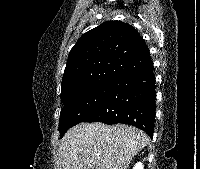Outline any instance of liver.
Segmentation results:
<instances>
[{"label": "liver", "mask_w": 200, "mask_h": 169, "mask_svg": "<svg viewBox=\"0 0 200 169\" xmlns=\"http://www.w3.org/2000/svg\"><path fill=\"white\" fill-rule=\"evenodd\" d=\"M148 141L142 130L129 125L80 123L62 138L57 169H127Z\"/></svg>", "instance_id": "1"}]
</instances>
